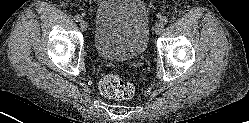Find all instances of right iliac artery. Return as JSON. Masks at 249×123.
I'll return each instance as SVG.
<instances>
[{"mask_svg": "<svg viewBox=\"0 0 249 123\" xmlns=\"http://www.w3.org/2000/svg\"><path fill=\"white\" fill-rule=\"evenodd\" d=\"M81 16L80 15H76L75 17H74V20L76 21V22H80L81 21Z\"/></svg>", "mask_w": 249, "mask_h": 123, "instance_id": "1", "label": "right iliac artery"}]
</instances>
